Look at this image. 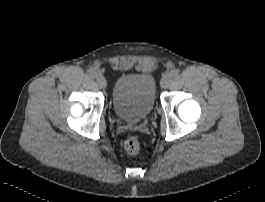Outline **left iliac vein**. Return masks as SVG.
<instances>
[{
	"instance_id": "4c4485c4",
	"label": "left iliac vein",
	"mask_w": 265,
	"mask_h": 202,
	"mask_svg": "<svg viewBox=\"0 0 265 202\" xmlns=\"http://www.w3.org/2000/svg\"><path fill=\"white\" fill-rule=\"evenodd\" d=\"M171 81H172V74L167 73L162 77L160 85L162 88H168L171 84Z\"/></svg>"
}]
</instances>
